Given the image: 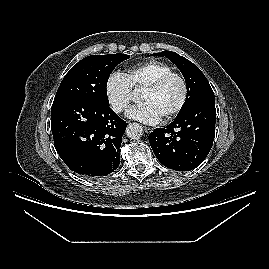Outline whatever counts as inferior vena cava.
<instances>
[{
  "label": "inferior vena cava",
  "instance_id": "1",
  "mask_svg": "<svg viewBox=\"0 0 269 269\" xmlns=\"http://www.w3.org/2000/svg\"><path fill=\"white\" fill-rule=\"evenodd\" d=\"M122 109H123V107L121 105H118V106L114 107L115 112H121Z\"/></svg>",
  "mask_w": 269,
  "mask_h": 269
}]
</instances>
